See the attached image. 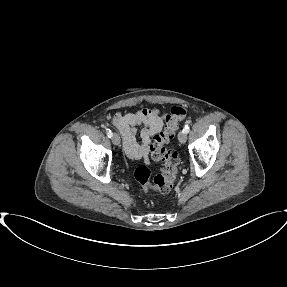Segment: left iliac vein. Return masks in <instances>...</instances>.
I'll return each mask as SVG.
<instances>
[{"instance_id": "left-iliac-vein-1", "label": "left iliac vein", "mask_w": 287, "mask_h": 287, "mask_svg": "<svg viewBox=\"0 0 287 287\" xmlns=\"http://www.w3.org/2000/svg\"><path fill=\"white\" fill-rule=\"evenodd\" d=\"M178 139L181 143H185L187 140L186 133L184 131H180L178 134Z\"/></svg>"}]
</instances>
